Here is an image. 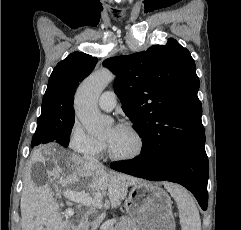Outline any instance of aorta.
<instances>
[{
	"label": "aorta",
	"instance_id": "obj_1",
	"mask_svg": "<svg viewBox=\"0 0 241 230\" xmlns=\"http://www.w3.org/2000/svg\"><path fill=\"white\" fill-rule=\"evenodd\" d=\"M114 78L112 72L101 69L88 76L77 89L74 101L75 114L92 136L104 135L112 123L111 118L101 114L97 103L102 91Z\"/></svg>",
	"mask_w": 241,
	"mask_h": 230
}]
</instances>
